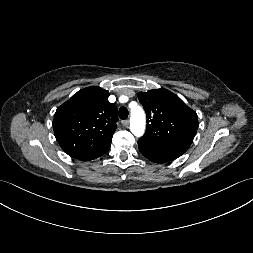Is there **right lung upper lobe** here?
Masks as SVG:
<instances>
[{"instance_id":"right-lung-upper-lobe-1","label":"right lung upper lobe","mask_w":253,"mask_h":253,"mask_svg":"<svg viewBox=\"0 0 253 253\" xmlns=\"http://www.w3.org/2000/svg\"><path fill=\"white\" fill-rule=\"evenodd\" d=\"M109 95L97 86L84 88L56 110L54 134L69 156L78 159L111 144L118 117Z\"/></svg>"}]
</instances>
